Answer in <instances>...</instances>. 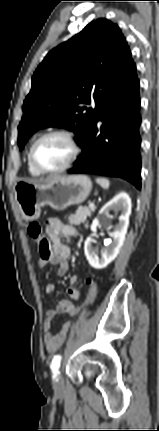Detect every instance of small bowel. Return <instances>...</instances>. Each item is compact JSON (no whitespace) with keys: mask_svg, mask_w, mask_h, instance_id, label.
Wrapping results in <instances>:
<instances>
[{"mask_svg":"<svg viewBox=\"0 0 159 431\" xmlns=\"http://www.w3.org/2000/svg\"><path fill=\"white\" fill-rule=\"evenodd\" d=\"M76 235L77 230L73 226L64 224L58 219H48L45 223V235H41L44 237V240L39 242L36 239L40 253L38 266L44 268L47 265H54L57 267V275L64 276L69 270L68 259L71 251L70 247L62 242L61 237H75ZM77 281L78 277L76 275H72L69 278L67 294L72 300H79L81 298V293L76 288ZM55 289L56 286L54 284L46 286L47 294H52ZM70 310H75V306L71 301L64 299L60 300L56 307L47 312L44 322V345L48 353H55L62 346L70 328V321H67L57 334H52V320L58 314L69 315Z\"/></svg>","mask_w":159,"mask_h":431,"instance_id":"1","label":"small bowel"}]
</instances>
